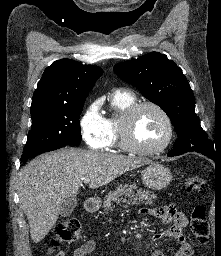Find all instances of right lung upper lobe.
I'll list each match as a JSON object with an SVG mask.
<instances>
[{"label":"right lung upper lobe","mask_w":221,"mask_h":256,"mask_svg":"<svg viewBox=\"0 0 221 256\" xmlns=\"http://www.w3.org/2000/svg\"><path fill=\"white\" fill-rule=\"evenodd\" d=\"M102 72L100 67L83 65L67 58L55 61L45 69L37 84L31 111L85 102Z\"/></svg>","instance_id":"1"}]
</instances>
